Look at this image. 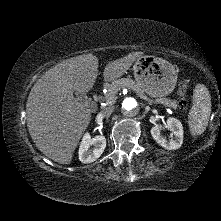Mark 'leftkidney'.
<instances>
[{
	"instance_id": "obj_1",
	"label": "left kidney",
	"mask_w": 221,
	"mask_h": 221,
	"mask_svg": "<svg viewBox=\"0 0 221 221\" xmlns=\"http://www.w3.org/2000/svg\"><path fill=\"white\" fill-rule=\"evenodd\" d=\"M164 128L172 131L175 138L167 140L166 137L161 134V130ZM151 135L153 139L163 148L167 150H176L180 148L183 143V126L178 119L169 117L165 125L154 126L151 129Z\"/></svg>"
}]
</instances>
